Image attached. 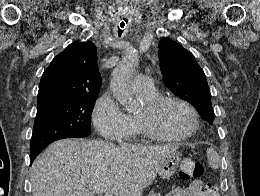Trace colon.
<instances>
[{"label": "colon", "mask_w": 260, "mask_h": 196, "mask_svg": "<svg viewBox=\"0 0 260 196\" xmlns=\"http://www.w3.org/2000/svg\"><path fill=\"white\" fill-rule=\"evenodd\" d=\"M180 179L187 183L201 182L204 178L203 166L192 159H185L179 165Z\"/></svg>", "instance_id": "1"}]
</instances>
